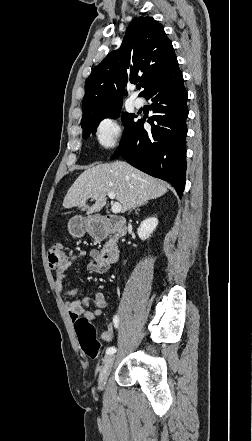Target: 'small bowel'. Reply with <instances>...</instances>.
Listing matches in <instances>:
<instances>
[{
  "instance_id": "obj_1",
  "label": "small bowel",
  "mask_w": 252,
  "mask_h": 441,
  "mask_svg": "<svg viewBox=\"0 0 252 441\" xmlns=\"http://www.w3.org/2000/svg\"><path fill=\"white\" fill-rule=\"evenodd\" d=\"M84 255V252L71 254L67 257L65 262L56 269L54 283L57 291L63 298L75 297L80 292L79 288L65 289V271ZM89 258L87 269L90 272L104 273L108 270L109 267L102 262L100 254L97 250H91L89 252ZM109 302L110 296L99 292L96 293L92 298L83 297L71 302H67L66 307L73 321H76L80 317H84L88 320H94L102 317L104 310L109 305ZM91 305H94L95 308L89 309ZM114 331V323L108 324L107 328L101 335V339L104 341L111 340L114 336Z\"/></svg>"
}]
</instances>
